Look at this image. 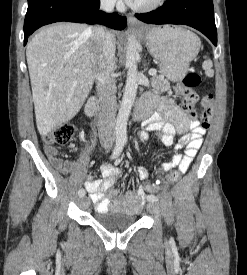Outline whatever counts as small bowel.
<instances>
[{"label": "small bowel", "instance_id": "small-bowel-1", "mask_svg": "<svg viewBox=\"0 0 247 275\" xmlns=\"http://www.w3.org/2000/svg\"><path fill=\"white\" fill-rule=\"evenodd\" d=\"M142 103L148 110L145 120L146 131L142 133V139L147 140L149 132H157L165 146L174 147L171 160L161 163L159 168L167 172L178 167L181 173H185L202 145L206 129L197 119L187 116L170 99L147 95L143 98ZM153 109H155L154 112H152ZM189 131L190 133H188ZM177 135H181V137L175 143ZM183 149H185L184 154L181 153ZM44 151L50 163L60 173L80 178L78 165L73 161L60 158L54 146L46 145ZM118 175L119 170L110 162H104L101 166L100 179L95 178L92 174L87 175L85 189L95 204L96 212L139 213L146 198L143 187L140 186L136 192L115 189L114 184ZM138 176L140 179H145L147 171L140 168Z\"/></svg>", "mask_w": 247, "mask_h": 275}]
</instances>
